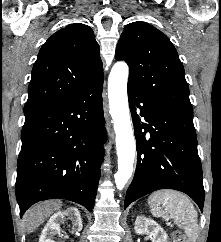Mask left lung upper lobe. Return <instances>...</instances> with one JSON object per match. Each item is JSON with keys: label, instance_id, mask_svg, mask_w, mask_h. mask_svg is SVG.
I'll use <instances>...</instances> for the list:
<instances>
[{"label": "left lung upper lobe", "instance_id": "1", "mask_svg": "<svg viewBox=\"0 0 221 242\" xmlns=\"http://www.w3.org/2000/svg\"><path fill=\"white\" fill-rule=\"evenodd\" d=\"M115 58L129 65L128 85L160 106L193 116L183 64L161 31L145 22L127 24Z\"/></svg>", "mask_w": 221, "mask_h": 242}]
</instances>
